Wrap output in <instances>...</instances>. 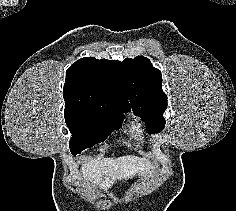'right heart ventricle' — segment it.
<instances>
[{
  "mask_svg": "<svg viewBox=\"0 0 236 211\" xmlns=\"http://www.w3.org/2000/svg\"><path fill=\"white\" fill-rule=\"evenodd\" d=\"M140 125L136 122H132L129 126H128V133L134 137L137 138L140 134Z\"/></svg>",
  "mask_w": 236,
  "mask_h": 211,
  "instance_id": "obj_1",
  "label": "right heart ventricle"
}]
</instances>
